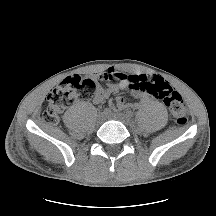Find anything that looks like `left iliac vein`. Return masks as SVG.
<instances>
[{
    "label": "left iliac vein",
    "mask_w": 216,
    "mask_h": 216,
    "mask_svg": "<svg viewBox=\"0 0 216 216\" xmlns=\"http://www.w3.org/2000/svg\"><path fill=\"white\" fill-rule=\"evenodd\" d=\"M110 119H114V120H118L122 123H124L125 125H131L132 121L131 118L128 117L126 114L124 113H115V114H111L109 116Z\"/></svg>",
    "instance_id": "left-iliac-vein-1"
}]
</instances>
